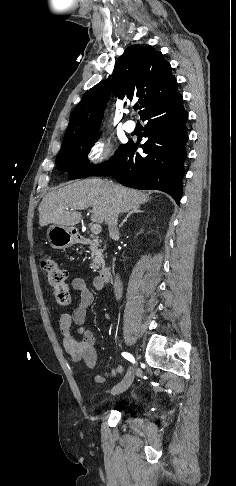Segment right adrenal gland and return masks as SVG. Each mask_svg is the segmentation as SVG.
<instances>
[{"label": "right adrenal gland", "mask_w": 236, "mask_h": 486, "mask_svg": "<svg viewBox=\"0 0 236 486\" xmlns=\"http://www.w3.org/2000/svg\"><path fill=\"white\" fill-rule=\"evenodd\" d=\"M143 212H144V211L140 210V208H139V207H136V208L131 209V210H130V211L127 213V215H126V217L124 218V220H123V221L120 223L119 228H121V227L123 226V224H124V223L127 221V219H128V218H129V217H130L132 214H134V213H143Z\"/></svg>", "instance_id": "right-adrenal-gland-1"}]
</instances>
